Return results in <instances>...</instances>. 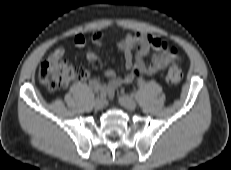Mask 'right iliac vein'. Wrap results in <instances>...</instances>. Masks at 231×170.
Returning a JSON list of instances; mask_svg holds the SVG:
<instances>
[{"label":"right iliac vein","instance_id":"obj_1","mask_svg":"<svg viewBox=\"0 0 231 170\" xmlns=\"http://www.w3.org/2000/svg\"><path fill=\"white\" fill-rule=\"evenodd\" d=\"M103 107H104V100L101 98H97L94 101V108L97 110H101V109H103Z\"/></svg>","mask_w":231,"mask_h":170}]
</instances>
